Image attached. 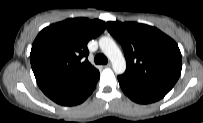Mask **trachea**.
Listing matches in <instances>:
<instances>
[{
  "instance_id": "trachea-1",
  "label": "trachea",
  "mask_w": 203,
  "mask_h": 123,
  "mask_svg": "<svg viewBox=\"0 0 203 123\" xmlns=\"http://www.w3.org/2000/svg\"><path fill=\"white\" fill-rule=\"evenodd\" d=\"M94 61H95L96 64H107L108 59L106 58L105 55L98 54V55L95 56Z\"/></svg>"
}]
</instances>
